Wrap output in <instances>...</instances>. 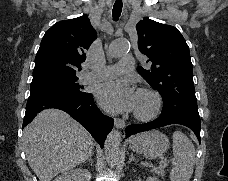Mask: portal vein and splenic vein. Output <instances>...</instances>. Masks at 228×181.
<instances>
[{"label": "portal vein and splenic vein", "mask_w": 228, "mask_h": 181, "mask_svg": "<svg viewBox=\"0 0 228 181\" xmlns=\"http://www.w3.org/2000/svg\"><path fill=\"white\" fill-rule=\"evenodd\" d=\"M171 161H174V159H171ZM161 163H164L163 165H162V168L163 169H166L167 168V165L165 164V161H161ZM159 168L157 167V166H151L150 168H149V174H154V171H157Z\"/></svg>", "instance_id": "18ae733b"}]
</instances>
